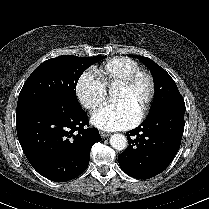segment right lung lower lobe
<instances>
[{
	"label": "right lung lower lobe",
	"mask_w": 209,
	"mask_h": 209,
	"mask_svg": "<svg viewBox=\"0 0 209 209\" xmlns=\"http://www.w3.org/2000/svg\"><path fill=\"white\" fill-rule=\"evenodd\" d=\"M80 107L47 104L16 117L20 145L32 167L55 182L78 177L88 166L90 150L101 137L87 128Z\"/></svg>",
	"instance_id": "right-lung-lower-lobe-1"
}]
</instances>
